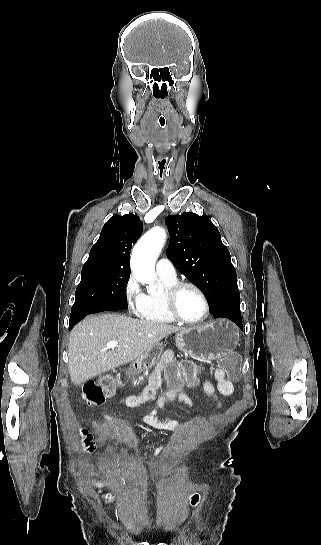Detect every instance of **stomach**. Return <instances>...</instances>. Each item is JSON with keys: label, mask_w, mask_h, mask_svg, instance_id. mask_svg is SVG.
<instances>
[{"label": "stomach", "mask_w": 321, "mask_h": 545, "mask_svg": "<svg viewBox=\"0 0 321 545\" xmlns=\"http://www.w3.org/2000/svg\"><path fill=\"white\" fill-rule=\"evenodd\" d=\"M239 341L238 327L227 319H216L200 327L184 329L177 333L175 339L176 347L183 353L191 355L194 359H205V361H214L227 353H232L239 345ZM162 351V345L157 343L156 347L147 351L145 355L131 361L128 369L123 371H126L127 375H139L149 371L159 361Z\"/></svg>", "instance_id": "1"}]
</instances>
